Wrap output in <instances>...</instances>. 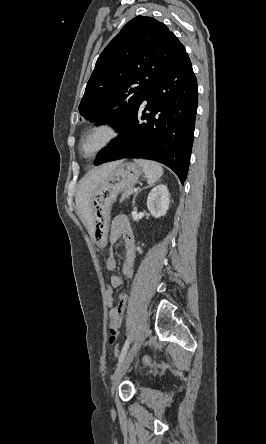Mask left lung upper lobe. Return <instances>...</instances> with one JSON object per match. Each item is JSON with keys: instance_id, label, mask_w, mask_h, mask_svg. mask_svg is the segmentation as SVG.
Listing matches in <instances>:
<instances>
[{"instance_id": "left-lung-upper-lobe-1", "label": "left lung upper lobe", "mask_w": 266, "mask_h": 444, "mask_svg": "<svg viewBox=\"0 0 266 444\" xmlns=\"http://www.w3.org/2000/svg\"><path fill=\"white\" fill-rule=\"evenodd\" d=\"M186 54L166 25L152 17L133 18L97 59L79 105L81 115L90 122L123 125Z\"/></svg>"}]
</instances>
